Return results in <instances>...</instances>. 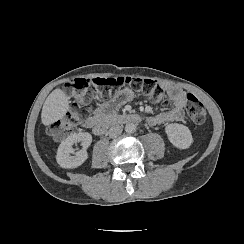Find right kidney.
Here are the masks:
<instances>
[{"mask_svg": "<svg viewBox=\"0 0 244 244\" xmlns=\"http://www.w3.org/2000/svg\"><path fill=\"white\" fill-rule=\"evenodd\" d=\"M92 142V136L89 133H75L67 137L60 146L56 154L57 164L64 169H74L81 166L87 159L88 153L86 150L78 151L76 156L73 154V145L81 144L84 148H88Z\"/></svg>", "mask_w": 244, "mask_h": 244, "instance_id": "ca27d5eb", "label": "right kidney"}]
</instances>
